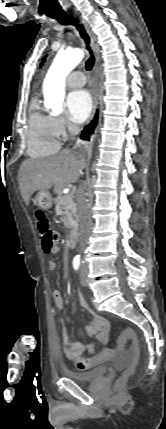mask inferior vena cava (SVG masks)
<instances>
[{"instance_id":"1","label":"inferior vena cava","mask_w":166,"mask_h":429,"mask_svg":"<svg viewBox=\"0 0 166 429\" xmlns=\"http://www.w3.org/2000/svg\"><path fill=\"white\" fill-rule=\"evenodd\" d=\"M69 132L74 139L80 129L75 124H69ZM88 193L86 192L85 184L82 182L78 192V217H79V247L78 252L82 253L86 247L91 227L90 204L87 200Z\"/></svg>"}]
</instances>
